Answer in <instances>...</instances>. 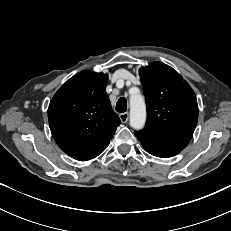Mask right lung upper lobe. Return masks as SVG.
Returning a JSON list of instances; mask_svg holds the SVG:
<instances>
[{
  "label": "right lung upper lobe",
  "instance_id": "right-lung-upper-lobe-1",
  "mask_svg": "<svg viewBox=\"0 0 231 231\" xmlns=\"http://www.w3.org/2000/svg\"><path fill=\"white\" fill-rule=\"evenodd\" d=\"M107 78L103 73L81 71L50 101L51 133L61 150L76 160L101 154L120 124L106 93Z\"/></svg>",
  "mask_w": 231,
  "mask_h": 231
}]
</instances>
